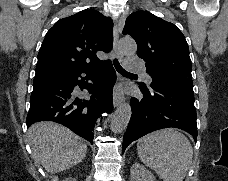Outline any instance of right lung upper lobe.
Returning <instances> with one entry per match:
<instances>
[{
    "label": "right lung upper lobe",
    "instance_id": "1",
    "mask_svg": "<svg viewBox=\"0 0 228 181\" xmlns=\"http://www.w3.org/2000/svg\"><path fill=\"white\" fill-rule=\"evenodd\" d=\"M112 43L113 22L97 10L63 18L45 36L35 78L100 64L96 52H110Z\"/></svg>",
    "mask_w": 228,
    "mask_h": 181
}]
</instances>
